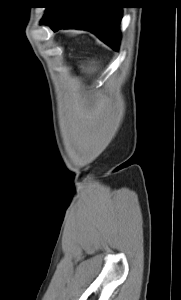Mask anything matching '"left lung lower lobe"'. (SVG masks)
<instances>
[{"label":"left lung lower lobe","mask_w":181,"mask_h":300,"mask_svg":"<svg viewBox=\"0 0 181 300\" xmlns=\"http://www.w3.org/2000/svg\"><path fill=\"white\" fill-rule=\"evenodd\" d=\"M121 17L122 7L114 0H58L48 8L41 23L53 31L89 30L118 51Z\"/></svg>","instance_id":"0a47b994"}]
</instances>
